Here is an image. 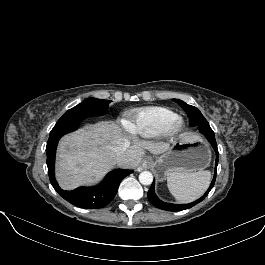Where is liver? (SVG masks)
<instances>
[{"label": "liver", "instance_id": "liver-1", "mask_svg": "<svg viewBox=\"0 0 265 265\" xmlns=\"http://www.w3.org/2000/svg\"><path fill=\"white\" fill-rule=\"evenodd\" d=\"M196 135L185 133L184 138ZM126 138L118 126L109 121L87 124L64 136L58 146L56 177L64 190H73L80 185H92L100 181L117 161L110 149ZM166 143L135 142L126 152L124 167H135L141 160L144 149L161 154L168 149Z\"/></svg>", "mask_w": 265, "mask_h": 265}]
</instances>
